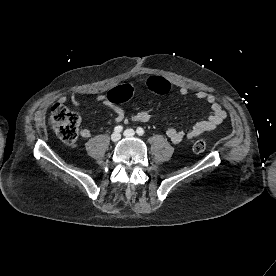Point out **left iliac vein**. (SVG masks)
Listing matches in <instances>:
<instances>
[{
  "label": "left iliac vein",
  "instance_id": "1",
  "mask_svg": "<svg viewBox=\"0 0 276 276\" xmlns=\"http://www.w3.org/2000/svg\"><path fill=\"white\" fill-rule=\"evenodd\" d=\"M123 134L126 137H134L135 131L133 129H126Z\"/></svg>",
  "mask_w": 276,
  "mask_h": 276
}]
</instances>
